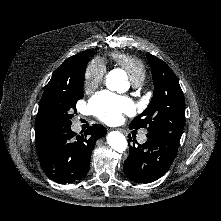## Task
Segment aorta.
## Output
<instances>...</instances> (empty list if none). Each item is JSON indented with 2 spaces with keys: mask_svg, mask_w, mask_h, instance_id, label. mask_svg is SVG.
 I'll return each mask as SVG.
<instances>
[{
  "mask_svg": "<svg viewBox=\"0 0 221 221\" xmlns=\"http://www.w3.org/2000/svg\"><path fill=\"white\" fill-rule=\"evenodd\" d=\"M126 78H120L117 71H112L107 75L106 85L111 91L119 90V88L124 85ZM107 142L109 146L117 152L122 153L127 148V140L125 136L118 132L112 131L107 135Z\"/></svg>",
  "mask_w": 221,
  "mask_h": 221,
  "instance_id": "1",
  "label": "aorta"
}]
</instances>
